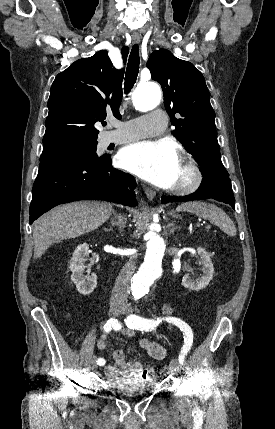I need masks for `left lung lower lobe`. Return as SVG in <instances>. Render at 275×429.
Returning a JSON list of instances; mask_svg holds the SVG:
<instances>
[{"instance_id": "0a47b994", "label": "left lung lower lobe", "mask_w": 275, "mask_h": 429, "mask_svg": "<svg viewBox=\"0 0 275 429\" xmlns=\"http://www.w3.org/2000/svg\"><path fill=\"white\" fill-rule=\"evenodd\" d=\"M203 181L196 192L181 198L162 197L161 203L166 204L175 201H193L213 198L215 200L230 204L235 209V198L232 191L229 176L217 173L203 175Z\"/></svg>"}]
</instances>
